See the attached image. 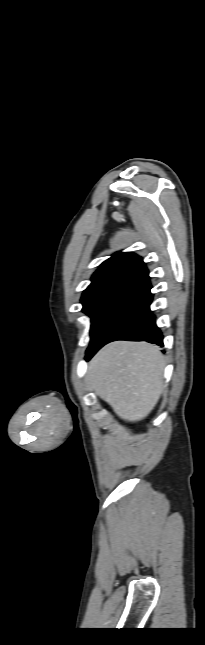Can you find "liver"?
I'll list each match as a JSON object with an SVG mask.
<instances>
[{
  "label": "liver",
  "mask_w": 205,
  "mask_h": 645,
  "mask_svg": "<svg viewBox=\"0 0 205 645\" xmlns=\"http://www.w3.org/2000/svg\"><path fill=\"white\" fill-rule=\"evenodd\" d=\"M165 359L146 342L116 341L105 345L90 361L87 382L116 415L128 422L144 419L162 393Z\"/></svg>",
  "instance_id": "liver-1"
}]
</instances>
